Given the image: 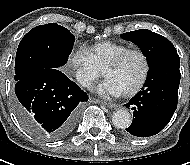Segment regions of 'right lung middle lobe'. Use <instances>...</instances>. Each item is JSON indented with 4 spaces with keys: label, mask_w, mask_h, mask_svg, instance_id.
<instances>
[{
    "label": "right lung middle lobe",
    "mask_w": 190,
    "mask_h": 165,
    "mask_svg": "<svg viewBox=\"0 0 190 165\" xmlns=\"http://www.w3.org/2000/svg\"><path fill=\"white\" fill-rule=\"evenodd\" d=\"M75 37L57 23L39 25L21 40L15 60V81L44 69L63 66L70 55Z\"/></svg>",
    "instance_id": "1"
}]
</instances>
